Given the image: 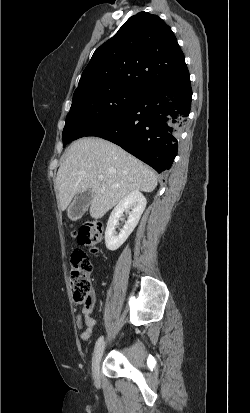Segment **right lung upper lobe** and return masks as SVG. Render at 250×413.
I'll list each match as a JSON object with an SVG mask.
<instances>
[{"instance_id": "cb5924a9", "label": "right lung upper lobe", "mask_w": 250, "mask_h": 413, "mask_svg": "<svg viewBox=\"0 0 250 413\" xmlns=\"http://www.w3.org/2000/svg\"><path fill=\"white\" fill-rule=\"evenodd\" d=\"M189 76L171 28L157 15L139 12L94 52L74 93L86 89L179 83Z\"/></svg>"}]
</instances>
